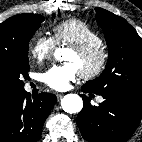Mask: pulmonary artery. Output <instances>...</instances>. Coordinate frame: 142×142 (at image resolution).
<instances>
[{
    "label": "pulmonary artery",
    "instance_id": "pulmonary-artery-1",
    "mask_svg": "<svg viewBox=\"0 0 142 142\" xmlns=\"http://www.w3.org/2000/svg\"><path fill=\"white\" fill-rule=\"evenodd\" d=\"M98 100H99V101H101V100H102V98L100 97V98H98Z\"/></svg>",
    "mask_w": 142,
    "mask_h": 142
}]
</instances>
